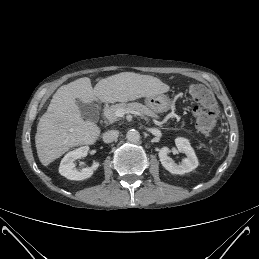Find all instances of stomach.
<instances>
[{"label": "stomach", "mask_w": 259, "mask_h": 259, "mask_svg": "<svg viewBox=\"0 0 259 259\" xmlns=\"http://www.w3.org/2000/svg\"><path fill=\"white\" fill-rule=\"evenodd\" d=\"M145 102L151 110L157 113L168 111L171 106L170 99L164 94L147 97Z\"/></svg>", "instance_id": "0dacf381"}]
</instances>
